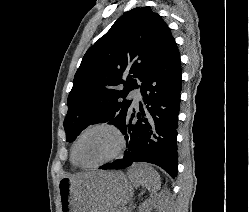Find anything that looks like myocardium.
<instances>
[{
    "label": "myocardium",
    "mask_w": 249,
    "mask_h": 212,
    "mask_svg": "<svg viewBox=\"0 0 249 212\" xmlns=\"http://www.w3.org/2000/svg\"><path fill=\"white\" fill-rule=\"evenodd\" d=\"M109 130L111 132H113L115 134V136L118 139V149L116 151V153L114 155H112L111 157L96 163V164H92V165H84L82 163H80L77 159V146L80 142V140L87 134L93 132V131H97V130ZM128 147V138L124 132V130L119 127L117 124L113 123V122H109V121H102V122H98L95 123L93 125H90L89 127H87L86 129H84L75 139L73 146H72V160L74 162V164L81 168V169H98L101 168L107 164H110L118 159H120L126 149Z\"/></svg>",
    "instance_id": "myocardium-1"
}]
</instances>
